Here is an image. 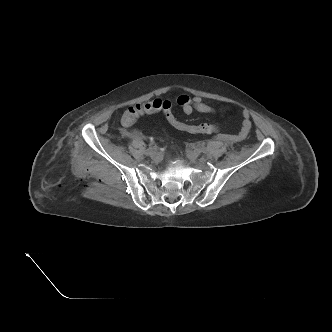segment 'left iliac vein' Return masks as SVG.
Segmentation results:
<instances>
[{"label": "left iliac vein", "mask_w": 332, "mask_h": 332, "mask_svg": "<svg viewBox=\"0 0 332 332\" xmlns=\"http://www.w3.org/2000/svg\"><path fill=\"white\" fill-rule=\"evenodd\" d=\"M198 156H199V155H198L195 151H193V150H188V151H187V157H188L190 160H192V161L197 160Z\"/></svg>", "instance_id": "obj_1"}]
</instances>
